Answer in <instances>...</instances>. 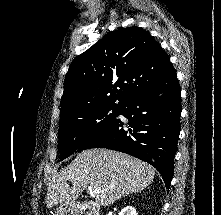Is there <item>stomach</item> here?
Returning a JSON list of instances; mask_svg holds the SVG:
<instances>
[{
    "label": "stomach",
    "mask_w": 221,
    "mask_h": 215,
    "mask_svg": "<svg viewBox=\"0 0 221 215\" xmlns=\"http://www.w3.org/2000/svg\"><path fill=\"white\" fill-rule=\"evenodd\" d=\"M55 215H77L75 204L63 202L56 208Z\"/></svg>",
    "instance_id": "obj_1"
}]
</instances>
